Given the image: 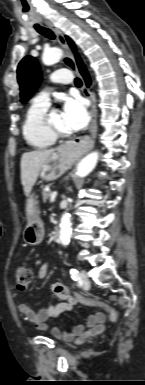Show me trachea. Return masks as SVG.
<instances>
[{
    "mask_svg": "<svg viewBox=\"0 0 145 385\" xmlns=\"http://www.w3.org/2000/svg\"><path fill=\"white\" fill-rule=\"evenodd\" d=\"M35 29L41 35H43V36H45V37H47V38H49L51 40L55 39V35H54V33L50 29L44 28V27H42L40 25H35ZM75 85L78 86V87H80L82 85V82H81V80L79 78L75 79Z\"/></svg>",
    "mask_w": 145,
    "mask_h": 385,
    "instance_id": "3493384b",
    "label": "trachea"
}]
</instances>
